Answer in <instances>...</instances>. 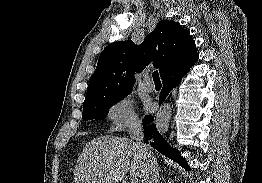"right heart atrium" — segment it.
<instances>
[{"label": "right heart atrium", "mask_w": 262, "mask_h": 183, "mask_svg": "<svg viewBox=\"0 0 262 183\" xmlns=\"http://www.w3.org/2000/svg\"><path fill=\"white\" fill-rule=\"evenodd\" d=\"M106 117L112 132L131 131L141 125L134 101L129 97H121L114 101L108 107Z\"/></svg>", "instance_id": "d8ad5b80"}]
</instances>
